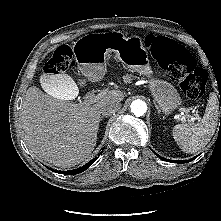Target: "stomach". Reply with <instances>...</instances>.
I'll use <instances>...</instances> for the list:
<instances>
[{"label":"stomach","mask_w":221,"mask_h":221,"mask_svg":"<svg viewBox=\"0 0 221 221\" xmlns=\"http://www.w3.org/2000/svg\"><path fill=\"white\" fill-rule=\"evenodd\" d=\"M85 47L77 54L78 69L92 80H100L106 72V60L110 53L129 70L148 78L153 98L164 113L178 108L181 99L169 83L154 77L147 50L139 36L125 37L118 31L94 33L82 38Z\"/></svg>","instance_id":"1"}]
</instances>
